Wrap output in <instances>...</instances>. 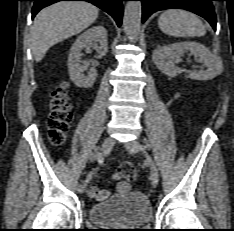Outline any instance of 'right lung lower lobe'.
<instances>
[{
  "label": "right lung lower lobe",
  "instance_id": "obj_1",
  "mask_svg": "<svg viewBox=\"0 0 234 231\" xmlns=\"http://www.w3.org/2000/svg\"><path fill=\"white\" fill-rule=\"evenodd\" d=\"M35 1L32 9V18L44 7L58 1H87L110 14L116 21L117 25H121L124 0H33Z\"/></svg>",
  "mask_w": 234,
  "mask_h": 231
}]
</instances>
